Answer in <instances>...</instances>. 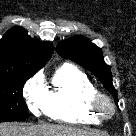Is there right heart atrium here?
Returning <instances> with one entry per match:
<instances>
[{
	"label": "right heart atrium",
	"mask_w": 136,
	"mask_h": 136,
	"mask_svg": "<svg viewBox=\"0 0 136 136\" xmlns=\"http://www.w3.org/2000/svg\"><path fill=\"white\" fill-rule=\"evenodd\" d=\"M23 95L29 110L39 115L46 106V92L41 76L31 78L24 86Z\"/></svg>",
	"instance_id": "1"
}]
</instances>
